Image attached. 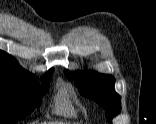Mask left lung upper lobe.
Here are the masks:
<instances>
[{
    "mask_svg": "<svg viewBox=\"0 0 156 124\" xmlns=\"http://www.w3.org/2000/svg\"><path fill=\"white\" fill-rule=\"evenodd\" d=\"M65 74L75 80L76 86L83 96L94 99L106 109V117L109 121L120 112L121 97L115 92V79L112 76L93 71L71 74L65 70Z\"/></svg>",
    "mask_w": 156,
    "mask_h": 124,
    "instance_id": "1",
    "label": "left lung upper lobe"
}]
</instances>
